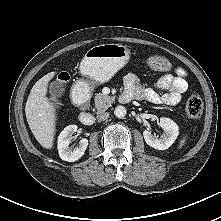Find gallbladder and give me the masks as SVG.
Instances as JSON below:
<instances>
[{
  "label": "gallbladder",
  "mask_w": 221,
  "mask_h": 221,
  "mask_svg": "<svg viewBox=\"0 0 221 221\" xmlns=\"http://www.w3.org/2000/svg\"><path fill=\"white\" fill-rule=\"evenodd\" d=\"M50 93L54 97H57V98L62 97L65 93L64 84L59 80H55V81L51 82Z\"/></svg>",
  "instance_id": "obj_1"
}]
</instances>
